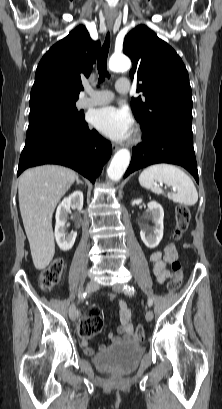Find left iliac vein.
<instances>
[{"instance_id":"obj_1","label":"left iliac vein","mask_w":222,"mask_h":409,"mask_svg":"<svg viewBox=\"0 0 222 409\" xmlns=\"http://www.w3.org/2000/svg\"><path fill=\"white\" fill-rule=\"evenodd\" d=\"M113 291L116 293H121L123 291V285L121 283H117L113 286ZM145 318L147 321H151L153 319V312L148 310L145 314Z\"/></svg>"}]
</instances>
